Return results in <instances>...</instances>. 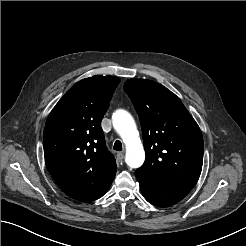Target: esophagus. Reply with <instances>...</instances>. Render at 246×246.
Masks as SVG:
<instances>
[{
    "label": "esophagus",
    "mask_w": 246,
    "mask_h": 246,
    "mask_svg": "<svg viewBox=\"0 0 246 246\" xmlns=\"http://www.w3.org/2000/svg\"><path fill=\"white\" fill-rule=\"evenodd\" d=\"M124 159V154L122 152L117 153V160L119 162H122Z\"/></svg>",
    "instance_id": "1"
}]
</instances>
